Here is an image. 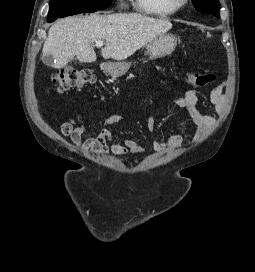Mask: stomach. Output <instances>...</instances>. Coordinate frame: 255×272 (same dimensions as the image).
Returning <instances> with one entry per match:
<instances>
[{
	"instance_id": "1",
	"label": "stomach",
	"mask_w": 255,
	"mask_h": 272,
	"mask_svg": "<svg viewBox=\"0 0 255 272\" xmlns=\"http://www.w3.org/2000/svg\"><path fill=\"white\" fill-rule=\"evenodd\" d=\"M176 45V36L169 33H163L149 42L146 47V53L149 55L150 59L165 57L175 50ZM130 66L131 63L124 61L108 62L104 65V69L112 77H120L129 70Z\"/></svg>"
}]
</instances>
